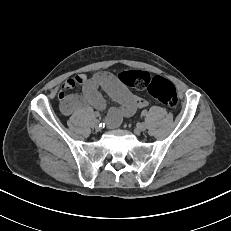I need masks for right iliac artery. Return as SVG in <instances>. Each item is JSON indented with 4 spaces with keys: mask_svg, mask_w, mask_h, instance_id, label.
I'll return each mask as SVG.
<instances>
[{
    "mask_svg": "<svg viewBox=\"0 0 231 231\" xmlns=\"http://www.w3.org/2000/svg\"><path fill=\"white\" fill-rule=\"evenodd\" d=\"M93 116L94 117H100V113L99 112H94Z\"/></svg>",
    "mask_w": 231,
    "mask_h": 231,
    "instance_id": "obj_1",
    "label": "right iliac artery"
}]
</instances>
